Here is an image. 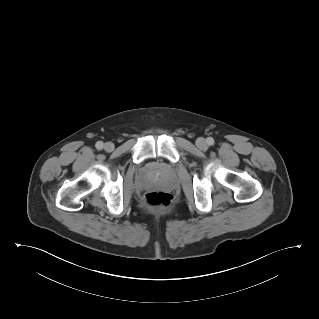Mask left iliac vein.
<instances>
[{"label": "left iliac vein", "mask_w": 319, "mask_h": 319, "mask_svg": "<svg viewBox=\"0 0 319 319\" xmlns=\"http://www.w3.org/2000/svg\"><path fill=\"white\" fill-rule=\"evenodd\" d=\"M196 145L198 148L200 149H206L207 148V142L204 138L202 137H199L197 140H196Z\"/></svg>", "instance_id": "obj_1"}]
</instances>
